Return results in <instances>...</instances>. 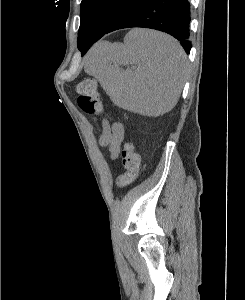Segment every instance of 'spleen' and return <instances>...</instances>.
I'll return each instance as SVG.
<instances>
[{"label": "spleen", "mask_w": 245, "mask_h": 300, "mask_svg": "<svg viewBox=\"0 0 245 300\" xmlns=\"http://www.w3.org/2000/svg\"><path fill=\"white\" fill-rule=\"evenodd\" d=\"M128 65L131 68H120ZM84 70L98 79L118 107L158 116L178 102L187 75V57L169 35L132 29L124 43L102 42L93 48Z\"/></svg>", "instance_id": "spleen-1"}]
</instances>
